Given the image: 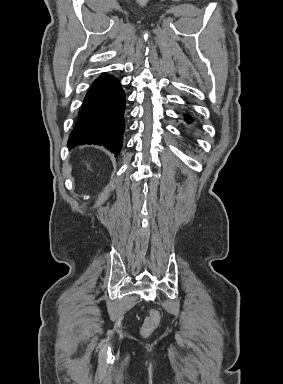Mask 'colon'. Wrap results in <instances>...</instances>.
<instances>
[{"label":"colon","mask_w":283,"mask_h":384,"mask_svg":"<svg viewBox=\"0 0 283 384\" xmlns=\"http://www.w3.org/2000/svg\"><path fill=\"white\" fill-rule=\"evenodd\" d=\"M159 323L160 315L158 311L150 310L141 328L142 335H150L158 327Z\"/></svg>","instance_id":"5ec220e1"}]
</instances>
